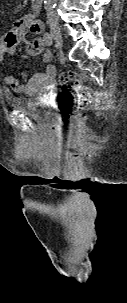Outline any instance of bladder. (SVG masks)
Here are the masks:
<instances>
[{"mask_svg":"<svg viewBox=\"0 0 127 303\" xmlns=\"http://www.w3.org/2000/svg\"><path fill=\"white\" fill-rule=\"evenodd\" d=\"M6 102L11 109L21 111L31 118L44 119L48 116L46 104L35 93L20 96L6 95Z\"/></svg>","mask_w":127,"mask_h":303,"instance_id":"bladder-1","label":"bladder"}]
</instances>
